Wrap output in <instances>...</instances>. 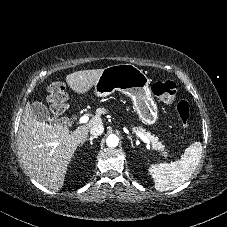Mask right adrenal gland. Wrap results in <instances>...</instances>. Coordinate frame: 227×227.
<instances>
[{
  "instance_id": "right-adrenal-gland-1",
  "label": "right adrenal gland",
  "mask_w": 227,
  "mask_h": 227,
  "mask_svg": "<svg viewBox=\"0 0 227 227\" xmlns=\"http://www.w3.org/2000/svg\"><path fill=\"white\" fill-rule=\"evenodd\" d=\"M95 138H98V137L97 136H91L90 138H88L86 140L90 141V145H92L93 144V139H95Z\"/></svg>"
}]
</instances>
